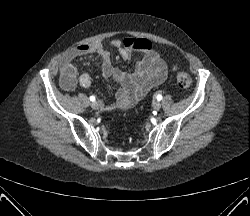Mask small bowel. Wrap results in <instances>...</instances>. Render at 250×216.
I'll return each instance as SVG.
<instances>
[{
  "mask_svg": "<svg viewBox=\"0 0 250 216\" xmlns=\"http://www.w3.org/2000/svg\"><path fill=\"white\" fill-rule=\"evenodd\" d=\"M123 59H130L135 52L143 54L132 73H125L111 63L109 50L100 43L83 44L65 54L60 60V84L63 90L73 91L79 84L83 88L91 85V77L87 73L78 75L76 60L95 54L101 61L104 78L116 85V101L105 106L107 110L114 108L129 109L140 101L153 87L161 84L167 75V67L150 41L143 38L115 39L110 43Z\"/></svg>",
  "mask_w": 250,
  "mask_h": 216,
  "instance_id": "small-bowel-1",
  "label": "small bowel"
}]
</instances>
